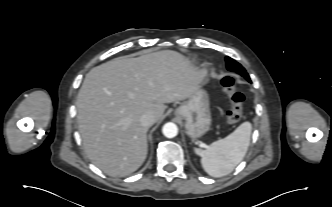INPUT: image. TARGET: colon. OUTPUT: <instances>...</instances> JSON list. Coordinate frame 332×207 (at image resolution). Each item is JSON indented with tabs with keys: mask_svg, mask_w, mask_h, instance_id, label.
Listing matches in <instances>:
<instances>
[{
	"mask_svg": "<svg viewBox=\"0 0 332 207\" xmlns=\"http://www.w3.org/2000/svg\"><path fill=\"white\" fill-rule=\"evenodd\" d=\"M221 84L231 104V108L227 112L226 122L228 124H234L242 118L245 98L244 95L236 89V82L233 76H225Z\"/></svg>",
	"mask_w": 332,
	"mask_h": 207,
	"instance_id": "obj_1",
	"label": "colon"
}]
</instances>
